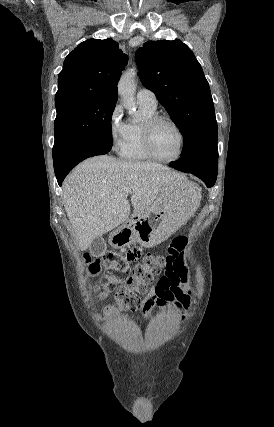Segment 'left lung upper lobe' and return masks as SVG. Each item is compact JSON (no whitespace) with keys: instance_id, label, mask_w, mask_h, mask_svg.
<instances>
[{"instance_id":"left-lung-upper-lobe-1","label":"left lung upper lobe","mask_w":274,"mask_h":427,"mask_svg":"<svg viewBox=\"0 0 274 427\" xmlns=\"http://www.w3.org/2000/svg\"><path fill=\"white\" fill-rule=\"evenodd\" d=\"M139 77L184 137L181 164L218 169V128L208 82L182 41H148L136 51Z\"/></svg>"}]
</instances>
